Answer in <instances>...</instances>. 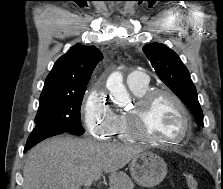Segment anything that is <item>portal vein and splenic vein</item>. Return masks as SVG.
<instances>
[{
    "mask_svg": "<svg viewBox=\"0 0 223 189\" xmlns=\"http://www.w3.org/2000/svg\"><path fill=\"white\" fill-rule=\"evenodd\" d=\"M92 183H93V180L92 179H90V180H87L85 183H84V185H85V187H90L91 185H92Z\"/></svg>",
    "mask_w": 223,
    "mask_h": 189,
    "instance_id": "portal-vein-and-splenic-vein-1",
    "label": "portal vein and splenic vein"
}]
</instances>
